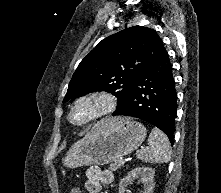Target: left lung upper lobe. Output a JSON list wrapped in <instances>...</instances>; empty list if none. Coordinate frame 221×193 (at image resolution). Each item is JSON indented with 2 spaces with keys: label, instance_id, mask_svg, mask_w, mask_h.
<instances>
[{
  "label": "left lung upper lobe",
  "instance_id": "obj_1",
  "mask_svg": "<svg viewBox=\"0 0 221 193\" xmlns=\"http://www.w3.org/2000/svg\"><path fill=\"white\" fill-rule=\"evenodd\" d=\"M164 52L156 31L143 26L126 28L103 39L80 62L63 103L104 90L115 95L121 104L136 77Z\"/></svg>",
  "mask_w": 221,
  "mask_h": 193
}]
</instances>
